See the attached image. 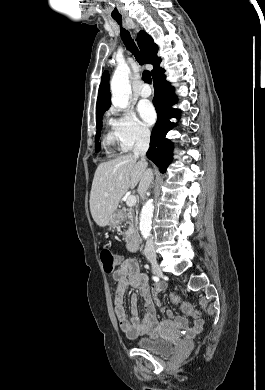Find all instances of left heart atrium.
I'll use <instances>...</instances> for the list:
<instances>
[{
  "instance_id": "1",
  "label": "left heart atrium",
  "mask_w": 265,
  "mask_h": 390,
  "mask_svg": "<svg viewBox=\"0 0 265 390\" xmlns=\"http://www.w3.org/2000/svg\"><path fill=\"white\" fill-rule=\"evenodd\" d=\"M138 111L145 124L152 125L155 122L156 112L150 103L142 102L138 106Z\"/></svg>"
}]
</instances>
